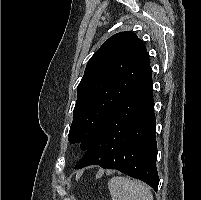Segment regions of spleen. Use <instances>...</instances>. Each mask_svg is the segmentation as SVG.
Here are the masks:
<instances>
[{
    "label": "spleen",
    "mask_w": 201,
    "mask_h": 200,
    "mask_svg": "<svg viewBox=\"0 0 201 200\" xmlns=\"http://www.w3.org/2000/svg\"><path fill=\"white\" fill-rule=\"evenodd\" d=\"M112 200H153L150 188L126 177H113L108 182Z\"/></svg>",
    "instance_id": "obj_1"
}]
</instances>
